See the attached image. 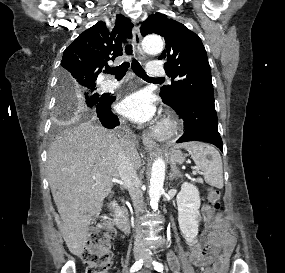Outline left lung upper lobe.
<instances>
[{
  "label": "left lung upper lobe",
  "instance_id": "left-lung-upper-lobe-1",
  "mask_svg": "<svg viewBox=\"0 0 285 273\" xmlns=\"http://www.w3.org/2000/svg\"><path fill=\"white\" fill-rule=\"evenodd\" d=\"M140 30L143 36L159 34L166 42L158 59L166 60L164 68L172 84L161 88L162 100L173 103L189 97H214L207 53L197 34L161 13L149 16Z\"/></svg>",
  "mask_w": 285,
  "mask_h": 273
}]
</instances>
